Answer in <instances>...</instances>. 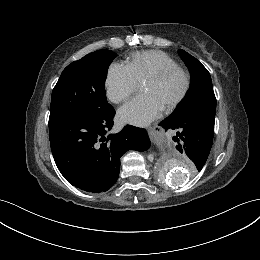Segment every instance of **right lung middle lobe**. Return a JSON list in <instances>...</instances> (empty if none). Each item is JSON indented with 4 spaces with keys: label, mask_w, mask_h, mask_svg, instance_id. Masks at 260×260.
I'll list each match as a JSON object with an SVG mask.
<instances>
[{
    "label": "right lung middle lobe",
    "mask_w": 260,
    "mask_h": 260,
    "mask_svg": "<svg viewBox=\"0 0 260 260\" xmlns=\"http://www.w3.org/2000/svg\"><path fill=\"white\" fill-rule=\"evenodd\" d=\"M115 57L110 50H99L69 64L52 91L49 121L67 117L96 118L111 110L105 80Z\"/></svg>",
    "instance_id": "right-lung-middle-lobe-1"
}]
</instances>
